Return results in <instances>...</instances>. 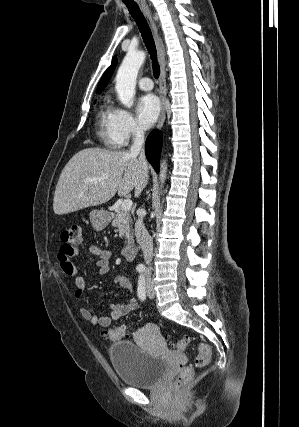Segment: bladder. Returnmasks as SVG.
<instances>
[{
  "label": "bladder",
  "instance_id": "1",
  "mask_svg": "<svg viewBox=\"0 0 299 427\" xmlns=\"http://www.w3.org/2000/svg\"><path fill=\"white\" fill-rule=\"evenodd\" d=\"M113 369L119 379L136 388L156 386L165 376L168 363L147 353L132 341H119L109 348Z\"/></svg>",
  "mask_w": 299,
  "mask_h": 427
}]
</instances>
